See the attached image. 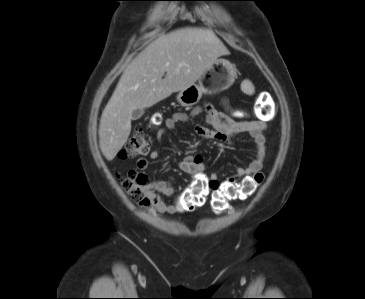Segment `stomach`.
<instances>
[{
  "instance_id": "obj_1",
  "label": "stomach",
  "mask_w": 365,
  "mask_h": 299,
  "mask_svg": "<svg viewBox=\"0 0 365 299\" xmlns=\"http://www.w3.org/2000/svg\"><path fill=\"white\" fill-rule=\"evenodd\" d=\"M236 79V68L228 60L217 59L200 77L197 84L179 91L177 101L184 107L196 105L203 94H217L231 87Z\"/></svg>"
}]
</instances>
